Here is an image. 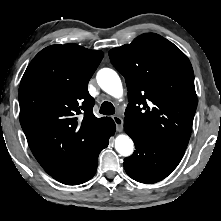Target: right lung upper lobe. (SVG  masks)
<instances>
[{
    "mask_svg": "<svg viewBox=\"0 0 221 221\" xmlns=\"http://www.w3.org/2000/svg\"><path fill=\"white\" fill-rule=\"evenodd\" d=\"M103 55L76 44L51 45L34 57L22 77L20 123L32 153L49 175L75 161L109 121L94 116V99L88 92Z\"/></svg>",
    "mask_w": 221,
    "mask_h": 221,
    "instance_id": "1",
    "label": "right lung upper lobe"
}]
</instances>
